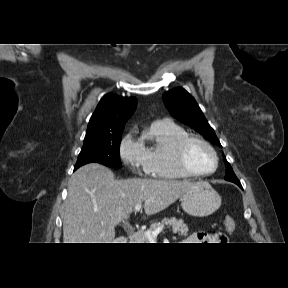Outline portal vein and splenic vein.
<instances>
[{
  "instance_id": "obj_1",
  "label": "portal vein and splenic vein",
  "mask_w": 288,
  "mask_h": 288,
  "mask_svg": "<svg viewBox=\"0 0 288 288\" xmlns=\"http://www.w3.org/2000/svg\"><path fill=\"white\" fill-rule=\"evenodd\" d=\"M140 209H141V204H137L134 207L135 212L140 211ZM162 229H163V226L158 227L156 230H154L152 232L146 231L145 235H146V237L148 238L149 241H154V240H156L158 234L162 231Z\"/></svg>"
}]
</instances>
